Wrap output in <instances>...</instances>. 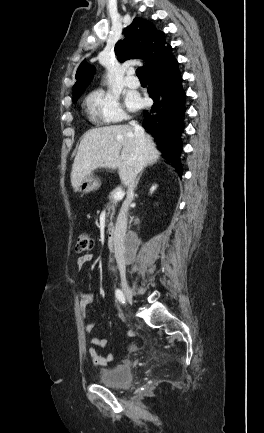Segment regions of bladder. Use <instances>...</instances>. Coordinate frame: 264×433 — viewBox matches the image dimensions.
Listing matches in <instances>:
<instances>
[{"label": "bladder", "mask_w": 264, "mask_h": 433, "mask_svg": "<svg viewBox=\"0 0 264 433\" xmlns=\"http://www.w3.org/2000/svg\"><path fill=\"white\" fill-rule=\"evenodd\" d=\"M100 383L111 388H126L133 380V365L124 362L112 368H104L99 373Z\"/></svg>", "instance_id": "bladder-1"}]
</instances>
